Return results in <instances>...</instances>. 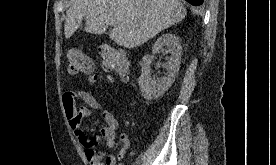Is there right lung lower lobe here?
Listing matches in <instances>:
<instances>
[{
  "label": "right lung lower lobe",
  "mask_w": 276,
  "mask_h": 165,
  "mask_svg": "<svg viewBox=\"0 0 276 165\" xmlns=\"http://www.w3.org/2000/svg\"><path fill=\"white\" fill-rule=\"evenodd\" d=\"M186 1L194 6H199L203 3V0H186Z\"/></svg>",
  "instance_id": "right-lung-lower-lobe-1"
}]
</instances>
